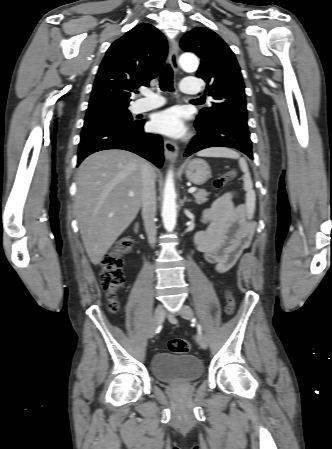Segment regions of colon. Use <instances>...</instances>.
Listing matches in <instances>:
<instances>
[{
    "instance_id": "colon-1",
    "label": "colon",
    "mask_w": 332,
    "mask_h": 449,
    "mask_svg": "<svg viewBox=\"0 0 332 449\" xmlns=\"http://www.w3.org/2000/svg\"><path fill=\"white\" fill-rule=\"evenodd\" d=\"M237 179L235 170L228 171L214 181V186L221 189L229 182ZM132 248V239L128 236L120 238L113 249L102 259L100 282L110 300V307L117 311V296L124 284V275L122 272V255L128 253ZM235 309V299L230 291L226 294L225 311L231 315ZM169 350L174 354H186L190 350V343L182 338H175L168 343Z\"/></svg>"
}]
</instances>
